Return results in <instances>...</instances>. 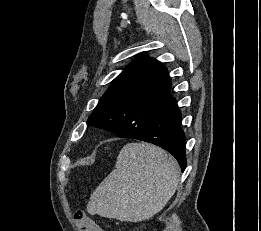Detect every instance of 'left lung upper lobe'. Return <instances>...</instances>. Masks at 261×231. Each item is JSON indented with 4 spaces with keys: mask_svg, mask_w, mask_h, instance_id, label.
I'll list each match as a JSON object with an SVG mask.
<instances>
[{
    "mask_svg": "<svg viewBox=\"0 0 261 231\" xmlns=\"http://www.w3.org/2000/svg\"><path fill=\"white\" fill-rule=\"evenodd\" d=\"M165 66L145 56L126 67L98 102L87 125L119 137L142 134L151 121L174 100Z\"/></svg>",
    "mask_w": 261,
    "mask_h": 231,
    "instance_id": "1",
    "label": "left lung upper lobe"
}]
</instances>
